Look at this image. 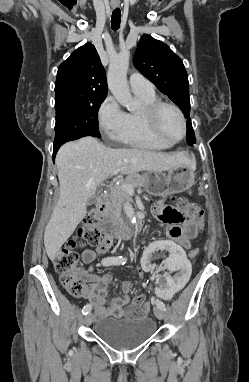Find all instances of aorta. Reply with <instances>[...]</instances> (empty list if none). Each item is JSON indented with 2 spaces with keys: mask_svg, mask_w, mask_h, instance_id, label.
Instances as JSON below:
<instances>
[{
  "mask_svg": "<svg viewBox=\"0 0 249 382\" xmlns=\"http://www.w3.org/2000/svg\"><path fill=\"white\" fill-rule=\"evenodd\" d=\"M130 52L121 51L118 55L111 59L107 73L108 88L115 99L129 111L137 108L136 101L132 98L127 83V70L129 66ZM127 218L132 222H136L135 213L130 204L124 207Z\"/></svg>",
  "mask_w": 249,
  "mask_h": 382,
  "instance_id": "762f6f07",
  "label": "aorta"
}]
</instances>
